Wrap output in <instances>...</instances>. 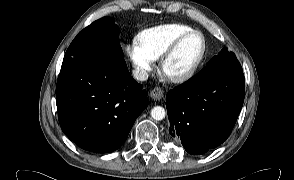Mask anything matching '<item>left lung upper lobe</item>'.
Instances as JSON below:
<instances>
[{"instance_id":"left-lung-upper-lobe-1","label":"left lung upper lobe","mask_w":294,"mask_h":180,"mask_svg":"<svg viewBox=\"0 0 294 180\" xmlns=\"http://www.w3.org/2000/svg\"><path fill=\"white\" fill-rule=\"evenodd\" d=\"M242 67L233 52L223 48L218 55L214 56L206 65L205 69L197 76L195 80H205L210 76L222 71H240Z\"/></svg>"}]
</instances>
